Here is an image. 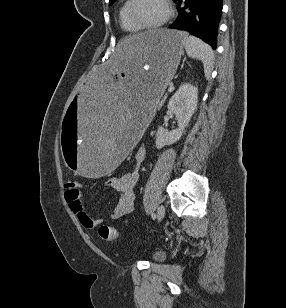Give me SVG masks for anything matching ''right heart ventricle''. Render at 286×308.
I'll list each match as a JSON object with an SVG mask.
<instances>
[{"label":"right heart ventricle","mask_w":286,"mask_h":308,"mask_svg":"<svg viewBox=\"0 0 286 308\" xmlns=\"http://www.w3.org/2000/svg\"><path fill=\"white\" fill-rule=\"evenodd\" d=\"M131 0H124L119 9V23L123 31L127 33H138L141 31L135 24L131 22L128 15V10Z\"/></svg>","instance_id":"obj_1"}]
</instances>
